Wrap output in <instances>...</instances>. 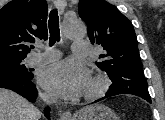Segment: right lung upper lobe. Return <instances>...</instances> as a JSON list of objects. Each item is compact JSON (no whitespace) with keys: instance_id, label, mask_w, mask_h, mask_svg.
I'll return each instance as SVG.
<instances>
[{"instance_id":"obj_1","label":"right lung upper lobe","mask_w":165,"mask_h":120,"mask_svg":"<svg viewBox=\"0 0 165 120\" xmlns=\"http://www.w3.org/2000/svg\"><path fill=\"white\" fill-rule=\"evenodd\" d=\"M46 0H12L0 10V61L25 59L29 43L48 37Z\"/></svg>"}]
</instances>
